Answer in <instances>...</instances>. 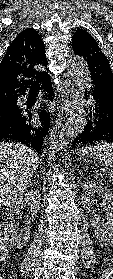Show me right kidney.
<instances>
[{"label": "right kidney", "mask_w": 113, "mask_h": 279, "mask_svg": "<svg viewBox=\"0 0 113 279\" xmlns=\"http://www.w3.org/2000/svg\"><path fill=\"white\" fill-rule=\"evenodd\" d=\"M40 200V192L34 189L23 196H20L15 202L8 206L4 229L10 234V241L15 247H24L29 241L31 235L29 221H26V224L23 225V228L20 231L18 228L24 204L27 203L31 206V217L34 219L40 205Z\"/></svg>", "instance_id": "1"}]
</instances>
